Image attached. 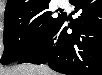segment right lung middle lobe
I'll return each mask as SVG.
<instances>
[{
	"label": "right lung middle lobe",
	"mask_w": 102,
	"mask_h": 75,
	"mask_svg": "<svg viewBox=\"0 0 102 75\" xmlns=\"http://www.w3.org/2000/svg\"><path fill=\"white\" fill-rule=\"evenodd\" d=\"M49 3L37 9L4 15L2 64L19 61L43 43L64 14L53 17Z\"/></svg>",
	"instance_id": "dd1d6c3e"
}]
</instances>
